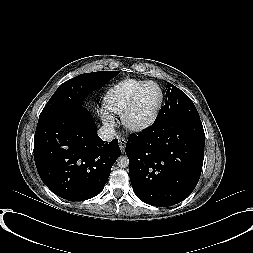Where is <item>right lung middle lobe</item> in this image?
<instances>
[{"instance_id": "1", "label": "right lung middle lobe", "mask_w": 253, "mask_h": 253, "mask_svg": "<svg viewBox=\"0 0 253 253\" xmlns=\"http://www.w3.org/2000/svg\"><path fill=\"white\" fill-rule=\"evenodd\" d=\"M118 71H99L78 75L61 84L42 110L39 121L82 105L85 97L114 78Z\"/></svg>"}]
</instances>
